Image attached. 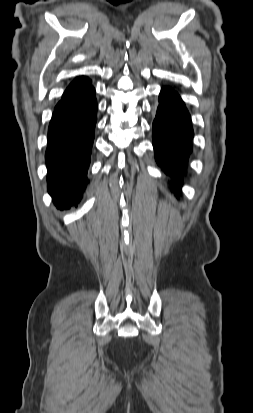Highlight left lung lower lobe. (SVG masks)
Instances as JSON below:
<instances>
[{
    "label": "left lung lower lobe",
    "instance_id": "1",
    "mask_svg": "<svg viewBox=\"0 0 253 413\" xmlns=\"http://www.w3.org/2000/svg\"><path fill=\"white\" fill-rule=\"evenodd\" d=\"M152 134L155 159L166 174L173 176V191L178 196L181 188L179 177L187 168L194 133L185 104L171 88L161 90Z\"/></svg>",
    "mask_w": 253,
    "mask_h": 413
}]
</instances>
